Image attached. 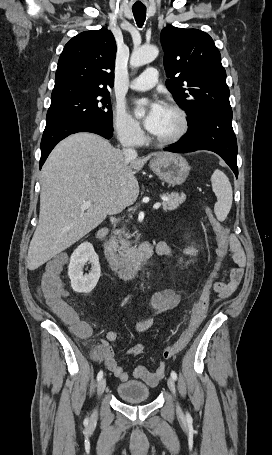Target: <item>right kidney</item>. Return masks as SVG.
Masks as SVG:
<instances>
[{
    "label": "right kidney",
    "instance_id": "right-kidney-1",
    "mask_svg": "<svg viewBox=\"0 0 272 455\" xmlns=\"http://www.w3.org/2000/svg\"><path fill=\"white\" fill-rule=\"evenodd\" d=\"M91 263L92 267L88 274H83V266ZM101 275L99 258L94 247L89 242L80 244L72 253L68 266V276L71 287L78 293L91 292Z\"/></svg>",
    "mask_w": 272,
    "mask_h": 455
}]
</instances>
